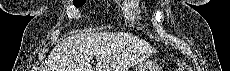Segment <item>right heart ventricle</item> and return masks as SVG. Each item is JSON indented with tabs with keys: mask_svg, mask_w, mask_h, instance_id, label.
Segmentation results:
<instances>
[{
	"mask_svg": "<svg viewBox=\"0 0 230 71\" xmlns=\"http://www.w3.org/2000/svg\"><path fill=\"white\" fill-rule=\"evenodd\" d=\"M136 2V1H135ZM138 11V6L136 4H133L131 6H128L125 9L126 15L130 18V19H134L136 16V12Z\"/></svg>",
	"mask_w": 230,
	"mask_h": 71,
	"instance_id": "obj_1",
	"label": "right heart ventricle"
}]
</instances>
